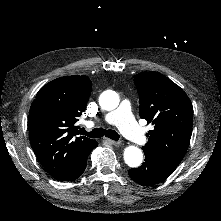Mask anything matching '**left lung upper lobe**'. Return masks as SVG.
<instances>
[{
    "label": "left lung upper lobe",
    "mask_w": 221,
    "mask_h": 221,
    "mask_svg": "<svg viewBox=\"0 0 221 221\" xmlns=\"http://www.w3.org/2000/svg\"><path fill=\"white\" fill-rule=\"evenodd\" d=\"M134 82L140 96L139 115L154 125L142 149L159 165L173 172L190 142L191 101L178 85L158 72L139 73Z\"/></svg>",
    "instance_id": "left-lung-upper-lobe-1"
}]
</instances>
